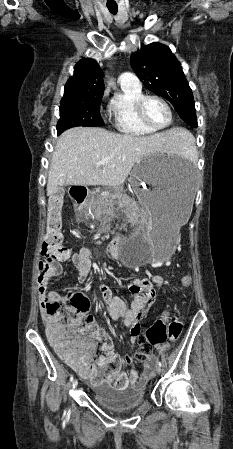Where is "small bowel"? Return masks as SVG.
I'll use <instances>...</instances> for the list:
<instances>
[{"label":"small bowel","instance_id":"c3829d8e","mask_svg":"<svg viewBox=\"0 0 233 449\" xmlns=\"http://www.w3.org/2000/svg\"><path fill=\"white\" fill-rule=\"evenodd\" d=\"M108 255L111 258H116V249L111 247ZM69 262L73 263L76 267L79 282H85L92 268L91 250L86 247L82 248L78 253H69L67 256L47 264L45 268H39L38 291L44 300L47 298V289L51 277L58 275L62 270V265ZM163 285L164 279L160 275H151L149 278L133 280L130 285V290L134 294V297L130 305H128L123 297L113 295L108 286H100V293L106 302L110 317L129 327V339L132 344L137 343L141 331L139 321L146 315L149 307L153 303L155 290ZM164 348V346L158 347L159 350H163ZM101 351L103 354L97 361H94L95 349L80 352L77 350L75 344H73L71 349L72 356L80 362L78 365L72 367L80 376L88 379L94 385H100L104 381L111 383L116 380H120L123 386L127 383L138 384L144 382L151 376L157 362L156 357L149 353L146 356L140 377H129L122 370L123 361L115 353L111 341L108 344H102ZM105 374L106 377L104 378Z\"/></svg>","mask_w":233,"mask_h":449}]
</instances>
